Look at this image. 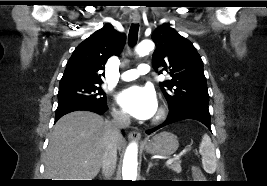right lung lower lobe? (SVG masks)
Masks as SVG:
<instances>
[{
	"instance_id": "right-lung-lower-lobe-1",
	"label": "right lung lower lobe",
	"mask_w": 267,
	"mask_h": 186,
	"mask_svg": "<svg viewBox=\"0 0 267 186\" xmlns=\"http://www.w3.org/2000/svg\"><path fill=\"white\" fill-rule=\"evenodd\" d=\"M106 104L103 103H96L91 101H85V100H70V101H64L60 102L58 104L56 113H55V122L60 119L63 115L78 111V110H86L95 112L98 114H103L107 110Z\"/></svg>"
}]
</instances>
